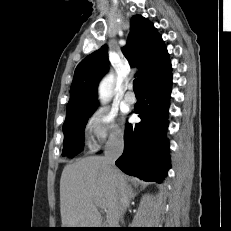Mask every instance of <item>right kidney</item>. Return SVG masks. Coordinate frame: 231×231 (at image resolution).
<instances>
[{
	"instance_id": "1",
	"label": "right kidney",
	"mask_w": 231,
	"mask_h": 231,
	"mask_svg": "<svg viewBox=\"0 0 231 231\" xmlns=\"http://www.w3.org/2000/svg\"><path fill=\"white\" fill-rule=\"evenodd\" d=\"M144 202H145V197H143V200H142V202H141V203L143 204Z\"/></svg>"
}]
</instances>
